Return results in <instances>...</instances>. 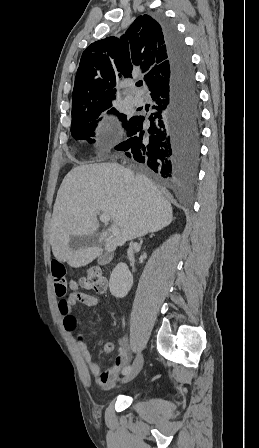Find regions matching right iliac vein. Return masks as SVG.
<instances>
[{"label":"right iliac vein","mask_w":259,"mask_h":448,"mask_svg":"<svg viewBox=\"0 0 259 448\" xmlns=\"http://www.w3.org/2000/svg\"><path fill=\"white\" fill-rule=\"evenodd\" d=\"M143 362H144L143 355L141 353H138L134 360L131 371L125 375L122 382L126 383V382L131 381L133 378H135L138 375V373L141 371V369L143 367Z\"/></svg>","instance_id":"right-iliac-vein-1"}]
</instances>
